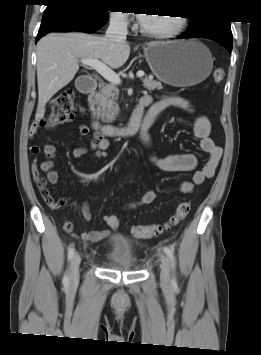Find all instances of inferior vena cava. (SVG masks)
Returning <instances> with one entry per match:
<instances>
[{
  "mask_svg": "<svg viewBox=\"0 0 261 355\" xmlns=\"http://www.w3.org/2000/svg\"><path fill=\"white\" fill-rule=\"evenodd\" d=\"M128 34L126 19L119 15H112L110 17V25L106 31L105 37L113 43L126 42Z\"/></svg>",
  "mask_w": 261,
  "mask_h": 355,
  "instance_id": "obj_1",
  "label": "inferior vena cava"
}]
</instances>
